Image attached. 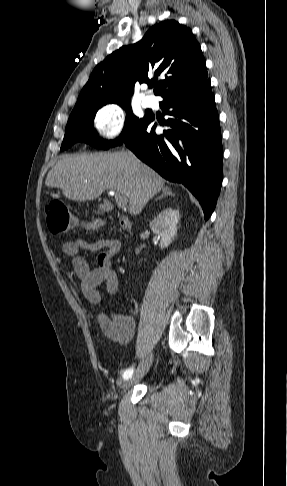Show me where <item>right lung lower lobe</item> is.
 I'll return each instance as SVG.
<instances>
[{
    "instance_id": "98d812e1",
    "label": "right lung lower lobe",
    "mask_w": 287,
    "mask_h": 486,
    "mask_svg": "<svg viewBox=\"0 0 287 486\" xmlns=\"http://www.w3.org/2000/svg\"><path fill=\"white\" fill-rule=\"evenodd\" d=\"M162 97L160 106L170 116L162 125L168 129L157 135L155 117L150 114L124 143L161 176L186 186L199 200L207 220L223 178L221 131L210 79Z\"/></svg>"
}]
</instances>
